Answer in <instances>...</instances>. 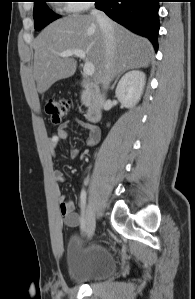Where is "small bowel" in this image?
<instances>
[{"label":"small bowel","mask_w":195,"mask_h":299,"mask_svg":"<svg viewBox=\"0 0 195 299\" xmlns=\"http://www.w3.org/2000/svg\"><path fill=\"white\" fill-rule=\"evenodd\" d=\"M74 122L84 128L88 133L87 144L88 146H94L98 143L100 139V133L98 129L90 125L82 120L75 119ZM68 126L69 123L66 122L58 127L49 138V148L53 153L59 143L68 137ZM80 154L78 149H74L72 151V156L76 157ZM55 185V192L57 195L58 203H59V213L63 223L71 228L78 227L82 224V216L78 213L74 212V204L72 201L68 200L66 196L62 193L59 184L64 181V174L62 171L58 169H54L52 172Z\"/></svg>","instance_id":"small-bowel-1"}]
</instances>
